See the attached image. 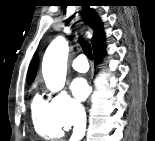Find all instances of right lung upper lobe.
Returning <instances> with one entry per match:
<instances>
[{
	"mask_svg": "<svg viewBox=\"0 0 155 141\" xmlns=\"http://www.w3.org/2000/svg\"><path fill=\"white\" fill-rule=\"evenodd\" d=\"M84 20L87 22V24L93 29L94 34L91 39L92 44L96 42V40L99 38V36L103 33L102 31V25L96 14H94V11L88 7V4H84ZM38 66V59L37 56L34 55L27 74V83L31 84L35 78V74L37 71Z\"/></svg>",
	"mask_w": 155,
	"mask_h": 141,
	"instance_id": "right-lung-upper-lobe-1",
	"label": "right lung upper lobe"
}]
</instances>
